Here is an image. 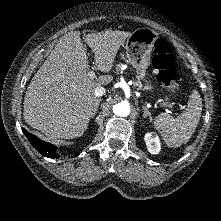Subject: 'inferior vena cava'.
I'll return each mask as SVG.
<instances>
[{
  "label": "inferior vena cava",
  "mask_w": 221,
  "mask_h": 221,
  "mask_svg": "<svg viewBox=\"0 0 221 221\" xmlns=\"http://www.w3.org/2000/svg\"><path fill=\"white\" fill-rule=\"evenodd\" d=\"M106 93V90L102 86H97L94 90V94L96 97L103 96Z\"/></svg>",
  "instance_id": "inferior-vena-cava-1"
}]
</instances>
